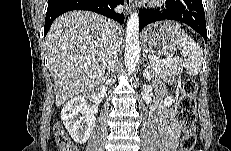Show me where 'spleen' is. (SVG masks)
Instances as JSON below:
<instances>
[{"instance_id": "3e777b00", "label": "spleen", "mask_w": 231, "mask_h": 151, "mask_svg": "<svg viewBox=\"0 0 231 151\" xmlns=\"http://www.w3.org/2000/svg\"><path fill=\"white\" fill-rule=\"evenodd\" d=\"M176 44L184 55V66L190 76H196L201 68L203 60V50L185 32L181 31L176 35Z\"/></svg>"}]
</instances>
